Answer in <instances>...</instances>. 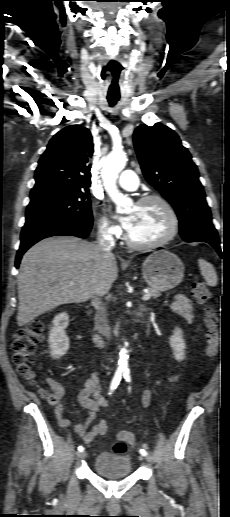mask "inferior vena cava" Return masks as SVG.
<instances>
[{"instance_id":"obj_1","label":"inferior vena cava","mask_w":230,"mask_h":517,"mask_svg":"<svg viewBox=\"0 0 230 517\" xmlns=\"http://www.w3.org/2000/svg\"><path fill=\"white\" fill-rule=\"evenodd\" d=\"M97 245L103 253H111L112 248L115 246V240L107 228H101L99 230ZM92 303L97 309L96 328L100 334H102L106 339H109L111 328L107 319L106 309H104L101 299L98 296L93 298Z\"/></svg>"}]
</instances>
